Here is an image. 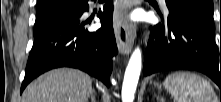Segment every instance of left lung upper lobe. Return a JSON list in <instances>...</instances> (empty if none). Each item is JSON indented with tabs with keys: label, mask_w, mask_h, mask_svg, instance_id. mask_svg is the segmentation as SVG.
Returning <instances> with one entry per match:
<instances>
[{
	"label": "left lung upper lobe",
	"mask_w": 221,
	"mask_h": 102,
	"mask_svg": "<svg viewBox=\"0 0 221 102\" xmlns=\"http://www.w3.org/2000/svg\"><path fill=\"white\" fill-rule=\"evenodd\" d=\"M170 6L189 9L210 23L213 22L212 0H166Z\"/></svg>",
	"instance_id": "left-lung-upper-lobe-1"
}]
</instances>
